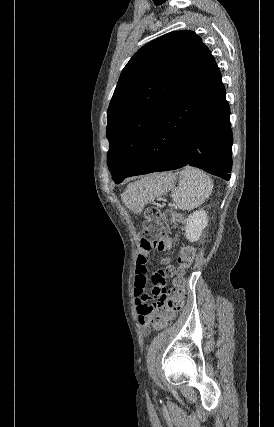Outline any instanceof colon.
<instances>
[{
  "instance_id": "1",
  "label": "colon",
  "mask_w": 274,
  "mask_h": 427,
  "mask_svg": "<svg viewBox=\"0 0 274 427\" xmlns=\"http://www.w3.org/2000/svg\"><path fill=\"white\" fill-rule=\"evenodd\" d=\"M179 217L173 212H162L157 207L148 208L145 212V218L142 223L140 236H146L147 242L150 236H155L157 242L163 240L169 241L170 234L167 227H172ZM196 252L192 244H187L181 251L179 256L178 270L175 271V280L169 290V299L166 301V306H160L158 311H152L151 322L154 331L160 334L168 328V321L171 314L180 313L183 310L184 302L187 298V288L184 273L187 267L191 265ZM151 312V311H148ZM157 338V335H154Z\"/></svg>"
}]
</instances>
